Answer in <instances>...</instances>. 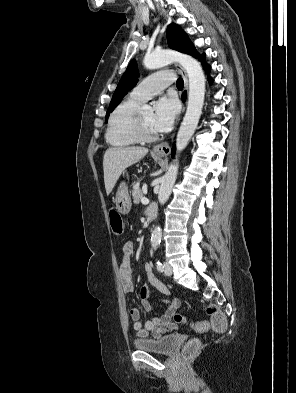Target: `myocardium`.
<instances>
[{
    "mask_svg": "<svg viewBox=\"0 0 296 393\" xmlns=\"http://www.w3.org/2000/svg\"><path fill=\"white\" fill-rule=\"evenodd\" d=\"M134 132L139 142H151L157 139V134L150 131L141 119L140 114L137 113L134 123Z\"/></svg>",
    "mask_w": 296,
    "mask_h": 393,
    "instance_id": "myocardium-1",
    "label": "myocardium"
}]
</instances>
